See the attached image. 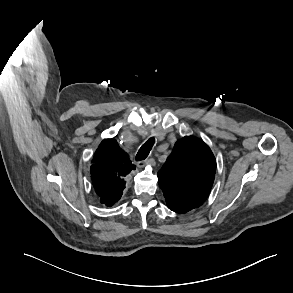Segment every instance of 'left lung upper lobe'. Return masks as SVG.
I'll use <instances>...</instances> for the list:
<instances>
[{
	"label": "left lung upper lobe",
	"instance_id": "left-lung-upper-lobe-1",
	"mask_svg": "<svg viewBox=\"0 0 293 293\" xmlns=\"http://www.w3.org/2000/svg\"><path fill=\"white\" fill-rule=\"evenodd\" d=\"M215 171V157L203 141L193 136L178 140L158 172L167 205L186 212L199 207L210 193Z\"/></svg>",
	"mask_w": 293,
	"mask_h": 293
}]
</instances>
